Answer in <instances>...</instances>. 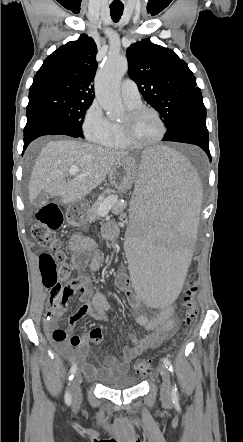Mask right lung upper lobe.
Here are the masks:
<instances>
[{"label": "right lung upper lobe", "instance_id": "obj_1", "mask_svg": "<svg viewBox=\"0 0 243 442\" xmlns=\"http://www.w3.org/2000/svg\"><path fill=\"white\" fill-rule=\"evenodd\" d=\"M96 53L94 40L86 34L81 35L77 41L59 47L44 60L38 70L29 97L60 93L92 102V82L97 69Z\"/></svg>", "mask_w": 243, "mask_h": 442}]
</instances>
